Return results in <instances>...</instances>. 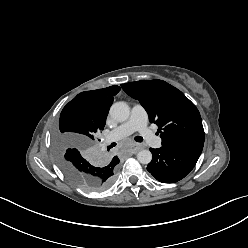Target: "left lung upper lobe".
Instances as JSON below:
<instances>
[{
	"mask_svg": "<svg viewBox=\"0 0 248 248\" xmlns=\"http://www.w3.org/2000/svg\"><path fill=\"white\" fill-rule=\"evenodd\" d=\"M121 87L129 96L139 100L151 123L158 125L162 146L204 138L198 109L177 88L158 79L125 83Z\"/></svg>",
	"mask_w": 248,
	"mask_h": 248,
	"instance_id": "5c2ea615",
	"label": "left lung upper lobe"
}]
</instances>
